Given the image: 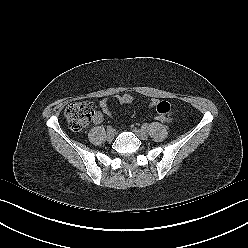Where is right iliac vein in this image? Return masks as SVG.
I'll return each mask as SVG.
<instances>
[{
	"label": "right iliac vein",
	"instance_id": "right-iliac-vein-1",
	"mask_svg": "<svg viewBox=\"0 0 248 248\" xmlns=\"http://www.w3.org/2000/svg\"><path fill=\"white\" fill-rule=\"evenodd\" d=\"M114 132L113 131H108L107 132V139L108 140H112L114 138Z\"/></svg>",
	"mask_w": 248,
	"mask_h": 248
}]
</instances>
